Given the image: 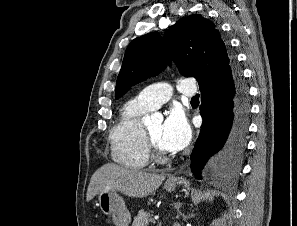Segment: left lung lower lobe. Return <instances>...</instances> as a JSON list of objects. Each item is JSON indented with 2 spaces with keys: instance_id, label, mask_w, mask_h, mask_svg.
I'll list each match as a JSON object with an SVG mask.
<instances>
[{
  "instance_id": "1",
  "label": "left lung lower lobe",
  "mask_w": 297,
  "mask_h": 226,
  "mask_svg": "<svg viewBox=\"0 0 297 226\" xmlns=\"http://www.w3.org/2000/svg\"><path fill=\"white\" fill-rule=\"evenodd\" d=\"M199 87L203 123L192 152L193 173L200 179L205 161L222 149L228 173L235 176L245 151L250 114L248 91L235 59L227 73L200 81Z\"/></svg>"
}]
</instances>
